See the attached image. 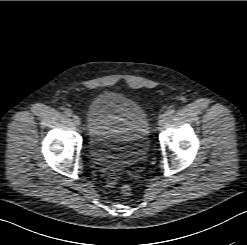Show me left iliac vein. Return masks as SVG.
I'll return each mask as SVG.
<instances>
[{
  "label": "left iliac vein",
  "mask_w": 247,
  "mask_h": 245,
  "mask_svg": "<svg viewBox=\"0 0 247 245\" xmlns=\"http://www.w3.org/2000/svg\"><path fill=\"white\" fill-rule=\"evenodd\" d=\"M166 121V115L165 114H161L158 118V126L159 128L163 127V125L165 124Z\"/></svg>",
  "instance_id": "4c4485c4"
}]
</instances>
